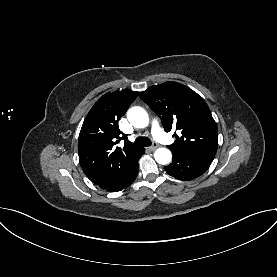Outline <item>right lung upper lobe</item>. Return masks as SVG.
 Returning a JSON list of instances; mask_svg holds the SVG:
<instances>
[{
    "instance_id": "1",
    "label": "right lung upper lobe",
    "mask_w": 277,
    "mask_h": 277,
    "mask_svg": "<svg viewBox=\"0 0 277 277\" xmlns=\"http://www.w3.org/2000/svg\"><path fill=\"white\" fill-rule=\"evenodd\" d=\"M139 92L117 90L103 95L86 116L78 140V154L85 175L102 189L117 181L140 157L144 148L134 147L118 127ZM124 140V146L116 144Z\"/></svg>"
}]
</instances>
